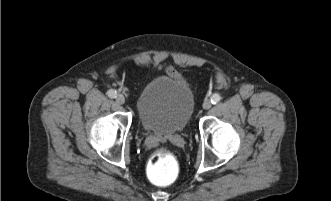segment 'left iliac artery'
<instances>
[{"instance_id":"1","label":"left iliac artery","mask_w":331,"mask_h":201,"mask_svg":"<svg viewBox=\"0 0 331 201\" xmlns=\"http://www.w3.org/2000/svg\"><path fill=\"white\" fill-rule=\"evenodd\" d=\"M221 100V96L219 94H214L211 97L212 104H217Z\"/></svg>"}]
</instances>
